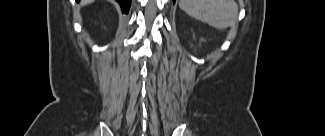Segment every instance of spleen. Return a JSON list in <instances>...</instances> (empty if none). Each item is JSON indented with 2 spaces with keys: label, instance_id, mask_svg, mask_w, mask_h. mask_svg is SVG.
<instances>
[{
  "label": "spleen",
  "instance_id": "spleen-1",
  "mask_svg": "<svg viewBox=\"0 0 325 136\" xmlns=\"http://www.w3.org/2000/svg\"><path fill=\"white\" fill-rule=\"evenodd\" d=\"M233 1L226 0H180V8L189 16L222 29L228 25L233 17Z\"/></svg>",
  "mask_w": 325,
  "mask_h": 136
}]
</instances>
